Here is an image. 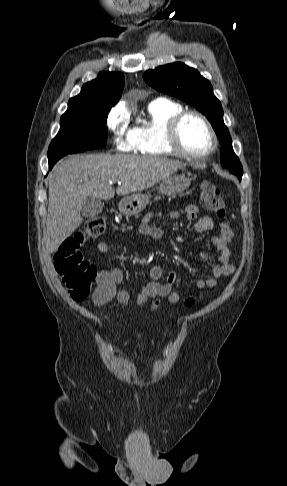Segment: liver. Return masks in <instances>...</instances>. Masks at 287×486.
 <instances>
[{"mask_svg": "<svg viewBox=\"0 0 287 486\" xmlns=\"http://www.w3.org/2000/svg\"><path fill=\"white\" fill-rule=\"evenodd\" d=\"M185 167V163L166 158L122 154L73 155L62 160L49 175L47 252H56L80 226L82 205L88 197L113 198L112 184L117 181H121L117 195L141 191Z\"/></svg>", "mask_w": 287, "mask_h": 486, "instance_id": "liver-1", "label": "liver"}]
</instances>
